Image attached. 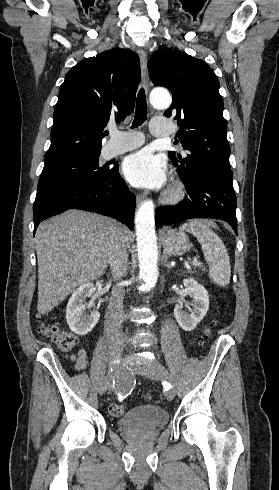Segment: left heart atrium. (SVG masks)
<instances>
[{
	"label": "left heart atrium",
	"instance_id": "left-heart-atrium-1",
	"mask_svg": "<svg viewBox=\"0 0 279 490\" xmlns=\"http://www.w3.org/2000/svg\"><path fill=\"white\" fill-rule=\"evenodd\" d=\"M122 172L125 179L137 188L159 190L167 179L165 160L149 150H141L126 157Z\"/></svg>",
	"mask_w": 279,
	"mask_h": 490
}]
</instances>
